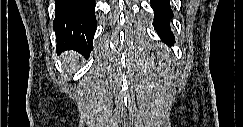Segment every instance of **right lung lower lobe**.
Instances as JSON below:
<instances>
[{"label":"right lung lower lobe","mask_w":243,"mask_h":127,"mask_svg":"<svg viewBox=\"0 0 243 127\" xmlns=\"http://www.w3.org/2000/svg\"><path fill=\"white\" fill-rule=\"evenodd\" d=\"M55 7L57 52L75 50L88 57L96 31L95 0H55Z\"/></svg>","instance_id":"98d812e1"}]
</instances>
